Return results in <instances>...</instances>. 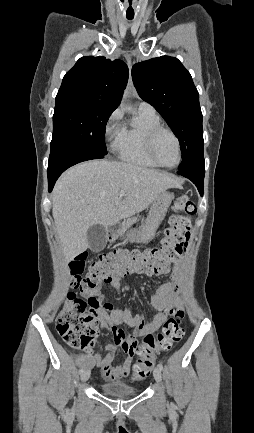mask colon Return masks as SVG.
Listing matches in <instances>:
<instances>
[{
  "label": "colon",
  "mask_w": 254,
  "mask_h": 433,
  "mask_svg": "<svg viewBox=\"0 0 254 433\" xmlns=\"http://www.w3.org/2000/svg\"><path fill=\"white\" fill-rule=\"evenodd\" d=\"M174 208L181 215L170 218L169 227L166 228L159 246L142 252L114 250L102 254L89 264L85 275L86 257L79 255L70 264L72 285L83 293H88L125 274L158 273L164 270L170 261L186 252L191 230L188 217L196 213L195 205L187 195L178 196ZM99 306L100 301L94 295L87 300L74 293L68 296L56 319L57 333L68 346L92 352L99 335ZM182 317V310H177L164 322L159 332L144 336L142 344L135 348L139 357L133 367L134 380H141L149 375L157 356L171 351L181 341L184 335Z\"/></svg>",
  "instance_id": "5ec220e1"
}]
</instances>
